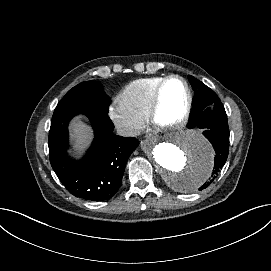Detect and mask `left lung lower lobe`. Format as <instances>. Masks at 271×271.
<instances>
[{
  "instance_id": "obj_1",
  "label": "left lung lower lobe",
  "mask_w": 271,
  "mask_h": 271,
  "mask_svg": "<svg viewBox=\"0 0 271 271\" xmlns=\"http://www.w3.org/2000/svg\"><path fill=\"white\" fill-rule=\"evenodd\" d=\"M198 127L204 129L203 135L215 148L216 156L214 169L209 181L204 183L199 190L205 189L217 177L224 166L229 152V128L225 109L221 102L208 105L200 114L191 119L188 128Z\"/></svg>"
}]
</instances>
